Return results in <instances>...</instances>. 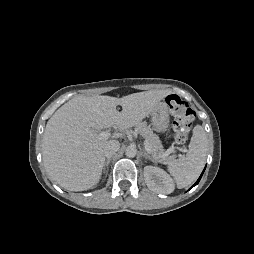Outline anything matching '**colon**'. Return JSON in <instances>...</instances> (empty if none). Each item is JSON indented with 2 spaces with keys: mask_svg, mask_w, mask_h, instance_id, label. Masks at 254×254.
<instances>
[{
  "mask_svg": "<svg viewBox=\"0 0 254 254\" xmlns=\"http://www.w3.org/2000/svg\"><path fill=\"white\" fill-rule=\"evenodd\" d=\"M166 101L170 110L174 114L172 137L176 144L182 145L186 142L192 129L195 112L185 100L177 95H169Z\"/></svg>",
  "mask_w": 254,
  "mask_h": 254,
  "instance_id": "obj_1",
  "label": "colon"
}]
</instances>
